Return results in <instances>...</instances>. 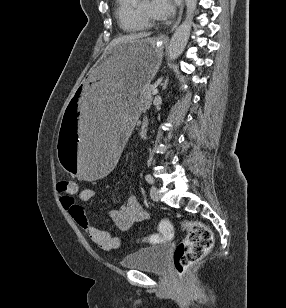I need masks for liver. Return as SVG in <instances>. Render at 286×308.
I'll return each mask as SVG.
<instances>
[{
    "mask_svg": "<svg viewBox=\"0 0 286 308\" xmlns=\"http://www.w3.org/2000/svg\"><path fill=\"white\" fill-rule=\"evenodd\" d=\"M148 36H150V33H135V34H130V35L115 38L108 44V46L105 49L104 54L109 52L113 47H115L117 45L127 43V42H131V41H135V40H139V39H143V38L148 37Z\"/></svg>",
    "mask_w": 286,
    "mask_h": 308,
    "instance_id": "6515ba94",
    "label": "liver"
}]
</instances>
